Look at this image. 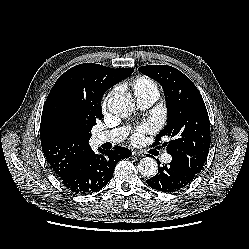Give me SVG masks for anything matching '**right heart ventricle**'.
<instances>
[{
	"mask_svg": "<svg viewBox=\"0 0 249 249\" xmlns=\"http://www.w3.org/2000/svg\"><path fill=\"white\" fill-rule=\"evenodd\" d=\"M130 85L132 86L137 97L151 92L159 93L157 83L145 75H138L130 82Z\"/></svg>",
	"mask_w": 249,
	"mask_h": 249,
	"instance_id": "obj_1",
	"label": "right heart ventricle"
}]
</instances>
